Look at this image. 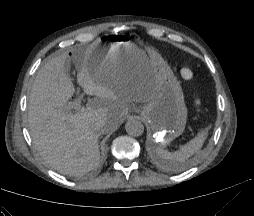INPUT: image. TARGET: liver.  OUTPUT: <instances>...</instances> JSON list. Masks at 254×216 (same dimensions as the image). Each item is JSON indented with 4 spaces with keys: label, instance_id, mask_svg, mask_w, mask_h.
<instances>
[{
    "label": "liver",
    "instance_id": "1",
    "mask_svg": "<svg viewBox=\"0 0 254 216\" xmlns=\"http://www.w3.org/2000/svg\"><path fill=\"white\" fill-rule=\"evenodd\" d=\"M96 42L75 56L79 69L77 82L83 91L95 96L79 112L71 113L67 101L75 92L68 75L67 52L50 59L37 73L31 88L28 123L35 147L55 170L67 175H83L100 160L99 132L117 127L127 105L147 103L154 89V77L148 67L109 71L94 78L90 71Z\"/></svg>",
    "mask_w": 254,
    "mask_h": 216
}]
</instances>
